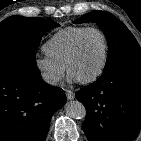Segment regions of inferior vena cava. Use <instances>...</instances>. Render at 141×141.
<instances>
[{
  "instance_id": "1",
  "label": "inferior vena cava",
  "mask_w": 141,
  "mask_h": 141,
  "mask_svg": "<svg viewBox=\"0 0 141 141\" xmlns=\"http://www.w3.org/2000/svg\"><path fill=\"white\" fill-rule=\"evenodd\" d=\"M43 79L49 84H56L59 81L58 77L50 74H44Z\"/></svg>"
}]
</instances>
